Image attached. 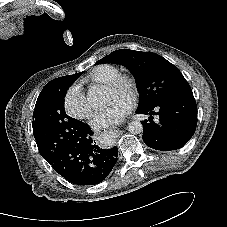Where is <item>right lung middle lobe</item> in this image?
Wrapping results in <instances>:
<instances>
[{
	"label": "right lung middle lobe",
	"instance_id": "dd1d6c3e",
	"mask_svg": "<svg viewBox=\"0 0 227 227\" xmlns=\"http://www.w3.org/2000/svg\"><path fill=\"white\" fill-rule=\"evenodd\" d=\"M82 73L51 80L38 96L32 127L39 153L46 160L55 157L64 145L73 140L79 120L66 114L64 96L67 89Z\"/></svg>",
	"mask_w": 227,
	"mask_h": 227
}]
</instances>
